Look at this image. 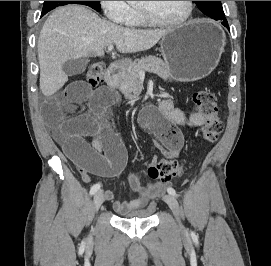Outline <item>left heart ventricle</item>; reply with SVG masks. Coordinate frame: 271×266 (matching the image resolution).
Here are the masks:
<instances>
[{"label":"left heart ventricle","instance_id":"obj_1","mask_svg":"<svg viewBox=\"0 0 271 266\" xmlns=\"http://www.w3.org/2000/svg\"><path fill=\"white\" fill-rule=\"evenodd\" d=\"M139 7H144L156 17L167 21H176L187 12L186 1H140Z\"/></svg>","mask_w":271,"mask_h":266}]
</instances>
